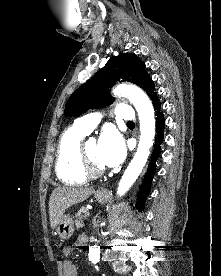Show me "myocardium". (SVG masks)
I'll list each match as a JSON object with an SVG mask.
<instances>
[{"instance_id":"obj_1","label":"myocardium","mask_w":221,"mask_h":276,"mask_svg":"<svg viewBox=\"0 0 221 276\" xmlns=\"http://www.w3.org/2000/svg\"><path fill=\"white\" fill-rule=\"evenodd\" d=\"M80 154H81V160H82L84 170L88 177L97 178L102 176L105 173V168L98 167L88 156L85 149V144H81Z\"/></svg>"}]
</instances>
